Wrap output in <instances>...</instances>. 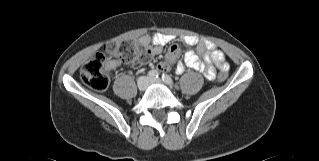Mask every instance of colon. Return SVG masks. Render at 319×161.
I'll return each instance as SVG.
<instances>
[{
	"instance_id": "colon-1",
	"label": "colon",
	"mask_w": 319,
	"mask_h": 161,
	"mask_svg": "<svg viewBox=\"0 0 319 161\" xmlns=\"http://www.w3.org/2000/svg\"><path fill=\"white\" fill-rule=\"evenodd\" d=\"M175 46L174 49H176ZM150 51L132 41H111L103 49L96 52L80 69V79L89 88L97 91L105 90L109 85V70L114 61L130 65H147ZM227 79L226 71H221L218 80Z\"/></svg>"
}]
</instances>
